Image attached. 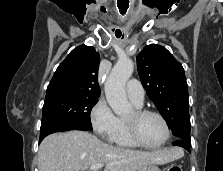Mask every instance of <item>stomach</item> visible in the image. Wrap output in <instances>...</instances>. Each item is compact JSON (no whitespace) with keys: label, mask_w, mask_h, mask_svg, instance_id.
I'll use <instances>...</instances> for the list:
<instances>
[{"label":"stomach","mask_w":223,"mask_h":171,"mask_svg":"<svg viewBox=\"0 0 223 171\" xmlns=\"http://www.w3.org/2000/svg\"><path fill=\"white\" fill-rule=\"evenodd\" d=\"M138 171H161L155 164H148L140 168Z\"/></svg>","instance_id":"stomach-1"}]
</instances>
